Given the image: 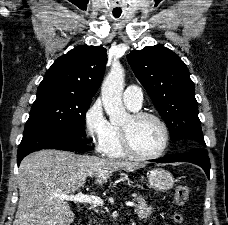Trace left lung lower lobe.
<instances>
[{
    "label": "left lung lower lobe",
    "mask_w": 228,
    "mask_h": 225,
    "mask_svg": "<svg viewBox=\"0 0 228 225\" xmlns=\"http://www.w3.org/2000/svg\"><path fill=\"white\" fill-rule=\"evenodd\" d=\"M157 163L190 162L200 166L206 173L208 179L210 174V161L204 146H194L188 152L173 154L159 160Z\"/></svg>",
    "instance_id": "obj_1"
}]
</instances>
